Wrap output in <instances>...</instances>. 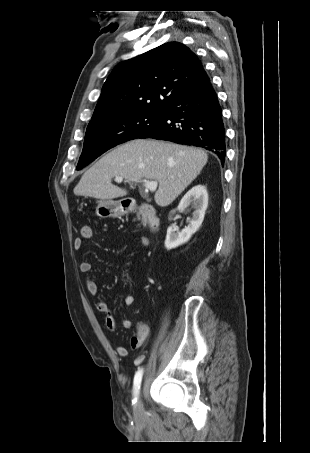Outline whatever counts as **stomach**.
Instances as JSON below:
<instances>
[{"instance_id": "0dacf381", "label": "stomach", "mask_w": 310, "mask_h": 453, "mask_svg": "<svg viewBox=\"0 0 310 453\" xmlns=\"http://www.w3.org/2000/svg\"><path fill=\"white\" fill-rule=\"evenodd\" d=\"M125 200H100L96 207V214L101 218H117L128 212Z\"/></svg>"}]
</instances>
